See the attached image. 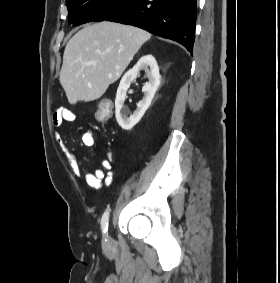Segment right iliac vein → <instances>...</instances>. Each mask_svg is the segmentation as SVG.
Listing matches in <instances>:
<instances>
[{"instance_id": "63e3f726", "label": "right iliac vein", "mask_w": 280, "mask_h": 283, "mask_svg": "<svg viewBox=\"0 0 280 283\" xmlns=\"http://www.w3.org/2000/svg\"><path fill=\"white\" fill-rule=\"evenodd\" d=\"M111 246V238L107 237L106 241L104 242V247L108 249Z\"/></svg>"}]
</instances>
